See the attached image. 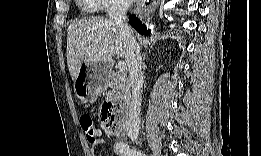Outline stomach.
Here are the masks:
<instances>
[{
  "label": "stomach",
  "instance_id": "1",
  "mask_svg": "<svg viewBox=\"0 0 261 156\" xmlns=\"http://www.w3.org/2000/svg\"><path fill=\"white\" fill-rule=\"evenodd\" d=\"M108 63H88L85 71L79 72L74 81V90L78 98L86 104L94 103L108 83Z\"/></svg>",
  "mask_w": 261,
  "mask_h": 156
}]
</instances>
